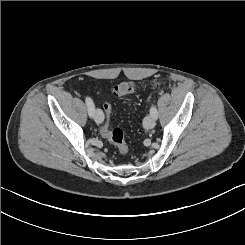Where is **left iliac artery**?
I'll list each match as a JSON object with an SVG mask.
<instances>
[{"mask_svg":"<svg viewBox=\"0 0 245 245\" xmlns=\"http://www.w3.org/2000/svg\"><path fill=\"white\" fill-rule=\"evenodd\" d=\"M150 115H151L154 119H157L158 112H157V109H156V106H155V105H152V106H151V108H150Z\"/></svg>","mask_w":245,"mask_h":245,"instance_id":"left-iliac-artery-1","label":"left iliac artery"}]
</instances>
